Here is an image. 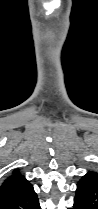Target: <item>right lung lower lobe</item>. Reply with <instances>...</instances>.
Listing matches in <instances>:
<instances>
[{
  "mask_svg": "<svg viewBox=\"0 0 98 209\" xmlns=\"http://www.w3.org/2000/svg\"><path fill=\"white\" fill-rule=\"evenodd\" d=\"M0 209H41L32 185Z\"/></svg>",
  "mask_w": 98,
  "mask_h": 209,
  "instance_id": "98d812e1",
  "label": "right lung lower lobe"
}]
</instances>
